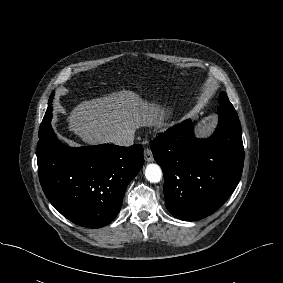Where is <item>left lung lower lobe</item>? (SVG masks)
I'll return each instance as SVG.
<instances>
[{
	"instance_id": "left-lung-lower-lobe-1",
	"label": "left lung lower lobe",
	"mask_w": 283,
	"mask_h": 283,
	"mask_svg": "<svg viewBox=\"0 0 283 283\" xmlns=\"http://www.w3.org/2000/svg\"><path fill=\"white\" fill-rule=\"evenodd\" d=\"M218 115V126L207 139L194 136L189 119L151 142L154 159L164 174L166 208L181 220L209 216L240 181L244 164L240 121L233 106L220 105Z\"/></svg>"
}]
</instances>
